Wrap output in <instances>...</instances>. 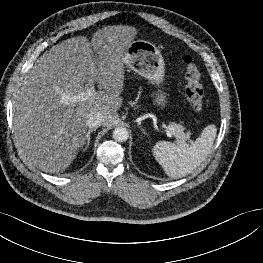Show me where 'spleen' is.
Listing matches in <instances>:
<instances>
[{"instance_id":"1","label":"spleen","mask_w":263,"mask_h":263,"mask_svg":"<svg viewBox=\"0 0 263 263\" xmlns=\"http://www.w3.org/2000/svg\"><path fill=\"white\" fill-rule=\"evenodd\" d=\"M216 134V126L210 124L190 146L159 141L152 148L153 155L168 176L181 178L192 173L206 159Z\"/></svg>"}]
</instances>
